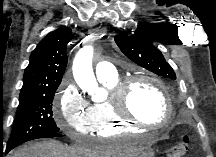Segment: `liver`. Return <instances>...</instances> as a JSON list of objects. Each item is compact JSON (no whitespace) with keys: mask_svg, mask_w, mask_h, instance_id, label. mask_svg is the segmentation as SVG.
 Here are the masks:
<instances>
[{"mask_svg":"<svg viewBox=\"0 0 216 157\" xmlns=\"http://www.w3.org/2000/svg\"><path fill=\"white\" fill-rule=\"evenodd\" d=\"M142 150V147L130 142L81 147L66 146L57 141H42L16 149L9 157H137Z\"/></svg>","mask_w":216,"mask_h":157,"instance_id":"1","label":"liver"}]
</instances>
